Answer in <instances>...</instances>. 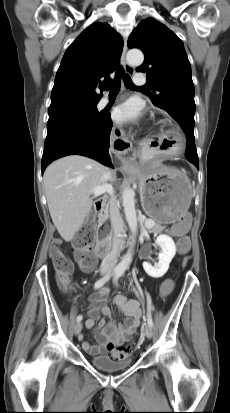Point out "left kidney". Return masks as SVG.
<instances>
[{"instance_id":"obj_1","label":"left kidney","mask_w":230,"mask_h":413,"mask_svg":"<svg viewBox=\"0 0 230 413\" xmlns=\"http://www.w3.org/2000/svg\"><path fill=\"white\" fill-rule=\"evenodd\" d=\"M156 244L162 250L159 253V262L155 266L144 262L143 268L149 276L160 278L167 272L169 264L176 254V246L173 239L166 234H160L156 239Z\"/></svg>"}]
</instances>
